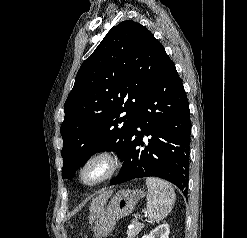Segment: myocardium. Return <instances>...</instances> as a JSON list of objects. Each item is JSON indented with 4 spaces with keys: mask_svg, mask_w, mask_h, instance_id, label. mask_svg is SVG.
Instances as JSON below:
<instances>
[{
    "mask_svg": "<svg viewBox=\"0 0 247 238\" xmlns=\"http://www.w3.org/2000/svg\"><path fill=\"white\" fill-rule=\"evenodd\" d=\"M102 163L105 171L102 175L93 180L86 178V171L94 164ZM120 167L118 153L109 148H100L90 153L80 164L77 170V179L85 187H93L109 180Z\"/></svg>",
    "mask_w": 247,
    "mask_h": 238,
    "instance_id": "obj_1",
    "label": "myocardium"
}]
</instances>
